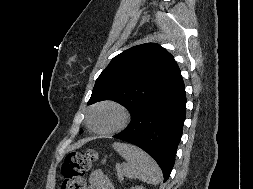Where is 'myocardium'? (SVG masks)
Returning a JSON list of instances; mask_svg holds the SVG:
<instances>
[{
	"mask_svg": "<svg viewBox=\"0 0 253 189\" xmlns=\"http://www.w3.org/2000/svg\"><path fill=\"white\" fill-rule=\"evenodd\" d=\"M104 107H110V108L115 109L120 115V121L118 122V124L115 127L111 128L109 130L102 131V130H97L93 127L92 116H93L94 112H96L100 108H104ZM128 122H129L128 111L122 105H120L119 103L114 102V101H103V102L96 104L94 107H92L90 109L88 116H87V126H88L89 130L91 132H93L94 134L103 135V136L113 135L115 133L122 131L127 126Z\"/></svg>",
	"mask_w": 253,
	"mask_h": 189,
	"instance_id": "1",
	"label": "myocardium"
}]
</instances>
